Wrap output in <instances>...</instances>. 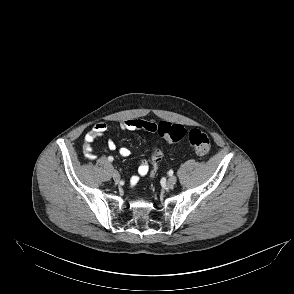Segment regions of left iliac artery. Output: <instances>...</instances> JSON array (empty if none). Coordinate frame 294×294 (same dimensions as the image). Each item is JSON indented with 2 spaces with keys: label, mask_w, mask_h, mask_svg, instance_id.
<instances>
[{
  "label": "left iliac artery",
  "mask_w": 294,
  "mask_h": 294,
  "mask_svg": "<svg viewBox=\"0 0 294 294\" xmlns=\"http://www.w3.org/2000/svg\"><path fill=\"white\" fill-rule=\"evenodd\" d=\"M166 174H167V177H168V178H171V177L174 175V171H173V169H171V168L168 169V171H167Z\"/></svg>",
  "instance_id": "1"
}]
</instances>
